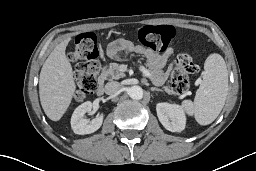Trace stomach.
<instances>
[{
	"label": "stomach",
	"mask_w": 256,
	"mask_h": 171,
	"mask_svg": "<svg viewBox=\"0 0 256 171\" xmlns=\"http://www.w3.org/2000/svg\"><path fill=\"white\" fill-rule=\"evenodd\" d=\"M109 56L111 57V58H119V54L115 51H113V52H111V51H109Z\"/></svg>",
	"instance_id": "stomach-1"
}]
</instances>
